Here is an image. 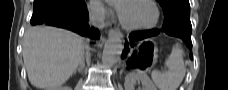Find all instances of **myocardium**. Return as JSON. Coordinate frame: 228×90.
<instances>
[{
  "mask_svg": "<svg viewBox=\"0 0 228 90\" xmlns=\"http://www.w3.org/2000/svg\"><path fill=\"white\" fill-rule=\"evenodd\" d=\"M134 1H137V0L122 1L121 5H120V10H119V21H120L121 25L128 30H138V31L149 30V29L156 27L159 23V20H160V11H159V8H158L156 2L153 0H144V1L148 2L153 7L154 12H155L154 20L150 24H147V25H130L124 20L122 13H121L122 6L124 4L131 3Z\"/></svg>",
  "mask_w": 228,
  "mask_h": 90,
  "instance_id": "obj_1",
  "label": "myocardium"
}]
</instances>
